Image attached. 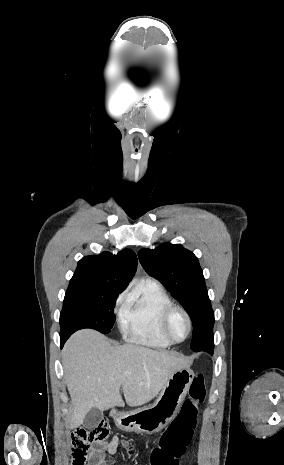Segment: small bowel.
<instances>
[{
	"mask_svg": "<svg viewBox=\"0 0 284 465\" xmlns=\"http://www.w3.org/2000/svg\"><path fill=\"white\" fill-rule=\"evenodd\" d=\"M122 445L125 448H129V443L125 440H120L117 435H114L109 441L104 444L97 445L92 453V460L95 463L94 465H103L106 453L109 455H114L119 447Z\"/></svg>",
	"mask_w": 284,
	"mask_h": 465,
	"instance_id": "obj_1",
	"label": "small bowel"
}]
</instances>
